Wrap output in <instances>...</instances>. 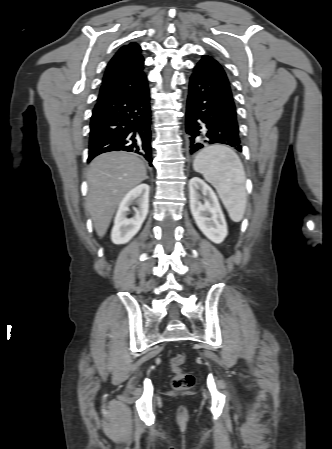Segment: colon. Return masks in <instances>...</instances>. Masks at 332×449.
<instances>
[{
	"instance_id": "colon-1",
	"label": "colon",
	"mask_w": 332,
	"mask_h": 449,
	"mask_svg": "<svg viewBox=\"0 0 332 449\" xmlns=\"http://www.w3.org/2000/svg\"><path fill=\"white\" fill-rule=\"evenodd\" d=\"M184 363L185 357L182 354H176L170 362L172 372L174 373L173 387L177 390L189 389L194 384L193 375L182 370Z\"/></svg>"
}]
</instances>
